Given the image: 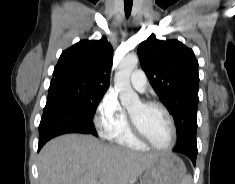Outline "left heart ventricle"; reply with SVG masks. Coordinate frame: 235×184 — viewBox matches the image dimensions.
I'll use <instances>...</instances> for the list:
<instances>
[{
	"instance_id": "obj_1",
	"label": "left heart ventricle",
	"mask_w": 235,
	"mask_h": 184,
	"mask_svg": "<svg viewBox=\"0 0 235 184\" xmlns=\"http://www.w3.org/2000/svg\"><path fill=\"white\" fill-rule=\"evenodd\" d=\"M138 127L159 147L169 144L171 138V126L165 112L158 108H145L138 103L129 110Z\"/></svg>"
}]
</instances>
